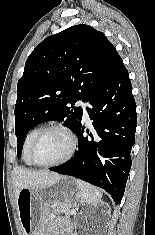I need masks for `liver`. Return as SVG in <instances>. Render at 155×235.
<instances>
[{"label":"liver","mask_w":155,"mask_h":235,"mask_svg":"<svg viewBox=\"0 0 155 235\" xmlns=\"http://www.w3.org/2000/svg\"><path fill=\"white\" fill-rule=\"evenodd\" d=\"M60 178V175L49 171H35L17 166L13 170L15 196L17 198L23 188H47Z\"/></svg>","instance_id":"liver-1"}]
</instances>
